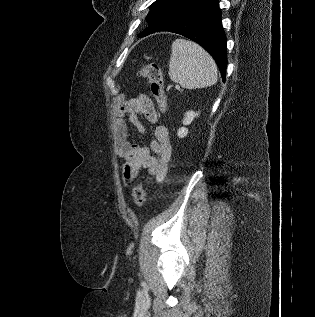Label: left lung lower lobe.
<instances>
[{
	"mask_svg": "<svg viewBox=\"0 0 315 317\" xmlns=\"http://www.w3.org/2000/svg\"><path fill=\"white\" fill-rule=\"evenodd\" d=\"M166 31L183 35L201 45L214 58L225 82L227 39L218 0H199Z\"/></svg>",
	"mask_w": 315,
	"mask_h": 317,
	"instance_id": "1",
	"label": "left lung lower lobe"
}]
</instances>
